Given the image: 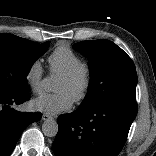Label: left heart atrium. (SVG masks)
Returning a JSON list of instances; mask_svg holds the SVG:
<instances>
[{
    "label": "left heart atrium",
    "instance_id": "obj_1",
    "mask_svg": "<svg viewBox=\"0 0 156 156\" xmlns=\"http://www.w3.org/2000/svg\"><path fill=\"white\" fill-rule=\"evenodd\" d=\"M72 104L73 99L64 92L43 94L32 101V106L35 110L49 115L67 111L72 107Z\"/></svg>",
    "mask_w": 156,
    "mask_h": 156
}]
</instances>
